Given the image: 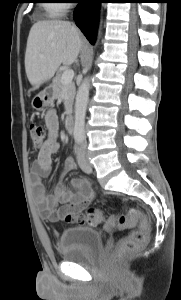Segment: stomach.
<instances>
[{"label":"stomach","mask_w":181,"mask_h":300,"mask_svg":"<svg viewBox=\"0 0 181 300\" xmlns=\"http://www.w3.org/2000/svg\"><path fill=\"white\" fill-rule=\"evenodd\" d=\"M55 99L53 88L48 87L44 89L42 92H40L38 95H36L32 99V107L36 110H41L45 107H48L53 103Z\"/></svg>","instance_id":"0dacf381"}]
</instances>
